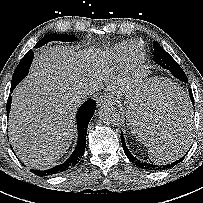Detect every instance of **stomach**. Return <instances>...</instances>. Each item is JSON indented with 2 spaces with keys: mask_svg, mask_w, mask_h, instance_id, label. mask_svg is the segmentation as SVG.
Returning <instances> with one entry per match:
<instances>
[{
  "mask_svg": "<svg viewBox=\"0 0 203 203\" xmlns=\"http://www.w3.org/2000/svg\"><path fill=\"white\" fill-rule=\"evenodd\" d=\"M144 94H140V100L141 99H144L143 98ZM134 96H128L126 98V107H127V113L131 114L134 110H135V106H136V103L134 102ZM137 132H140L139 130H137Z\"/></svg>",
  "mask_w": 203,
  "mask_h": 203,
  "instance_id": "0dacf381",
  "label": "stomach"
}]
</instances>
